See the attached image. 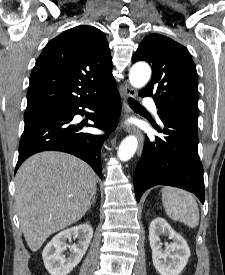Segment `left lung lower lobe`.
Returning a JSON list of instances; mask_svg holds the SVG:
<instances>
[{
	"mask_svg": "<svg viewBox=\"0 0 225 275\" xmlns=\"http://www.w3.org/2000/svg\"><path fill=\"white\" fill-rule=\"evenodd\" d=\"M165 136L151 141L145 136L143 154L134 175L137 201L155 185L179 187L204 203L203 166L198 155V125L168 113L159 115Z\"/></svg>",
	"mask_w": 225,
	"mask_h": 275,
	"instance_id": "0a47b994",
	"label": "left lung lower lobe"
}]
</instances>
